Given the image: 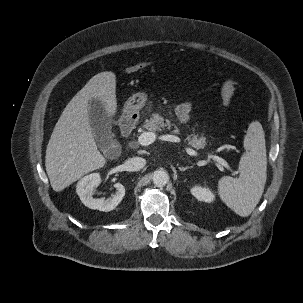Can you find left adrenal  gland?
<instances>
[{
	"mask_svg": "<svg viewBox=\"0 0 303 303\" xmlns=\"http://www.w3.org/2000/svg\"><path fill=\"white\" fill-rule=\"evenodd\" d=\"M192 168V166H186V167H178V169L180 170V171H186L187 169H191Z\"/></svg>",
	"mask_w": 303,
	"mask_h": 303,
	"instance_id": "a2214340",
	"label": "left adrenal gland"
}]
</instances>
